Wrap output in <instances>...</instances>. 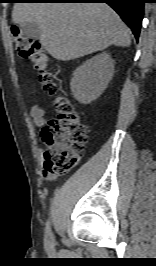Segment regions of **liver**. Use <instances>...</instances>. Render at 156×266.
Here are the masks:
<instances>
[{"instance_id":"liver-1","label":"liver","mask_w":156,"mask_h":266,"mask_svg":"<svg viewBox=\"0 0 156 266\" xmlns=\"http://www.w3.org/2000/svg\"><path fill=\"white\" fill-rule=\"evenodd\" d=\"M12 20L37 24L42 46L62 61L131 44L130 30L105 3H15Z\"/></svg>"}]
</instances>
